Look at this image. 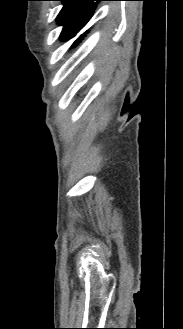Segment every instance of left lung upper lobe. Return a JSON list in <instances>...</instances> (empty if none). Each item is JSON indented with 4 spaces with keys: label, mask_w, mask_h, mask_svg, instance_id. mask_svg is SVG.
<instances>
[{
    "label": "left lung upper lobe",
    "mask_w": 183,
    "mask_h": 329,
    "mask_svg": "<svg viewBox=\"0 0 183 329\" xmlns=\"http://www.w3.org/2000/svg\"><path fill=\"white\" fill-rule=\"evenodd\" d=\"M63 2L64 6L60 11L57 22L59 25H63L60 38L64 41L73 38L90 20L93 12L96 8V4L99 1L105 0H57ZM84 34L73 43L71 47H75L79 44Z\"/></svg>",
    "instance_id": "left-lung-upper-lobe-1"
}]
</instances>
